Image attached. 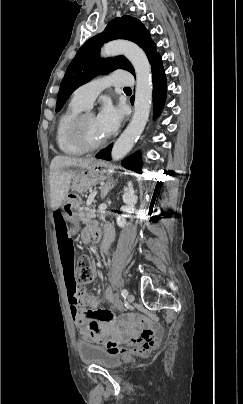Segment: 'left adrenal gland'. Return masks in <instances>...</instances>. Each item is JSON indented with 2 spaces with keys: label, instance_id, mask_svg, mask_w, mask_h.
<instances>
[{
  "label": "left adrenal gland",
  "instance_id": "left-adrenal-gland-1",
  "mask_svg": "<svg viewBox=\"0 0 243 404\" xmlns=\"http://www.w3.org/2000/svg\"><path fill=\"white\" fill-rule=\"evenodd\" d=\"M114 186H116L113 178H111V180H108V182H106L105 186H102L101 190H100V198L101 200H104L105 196H107L108 192H110V190H112V188H114Z\"/></svg>",
  "mask_w": 243,
  "mask_h": 404
}]
</instances>
